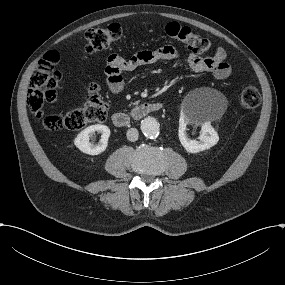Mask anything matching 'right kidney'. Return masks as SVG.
I'll return each instance as SVG.
<instances>
[{"mask_svg":"<svg viewBox=\"0 0 285 285\" xmlns=\"http://www.w3.org/2000/svg\"><path fill=\"white\" fill-rule=\"evenodd\" d=\"M101 133V139L98 145L92 144L89 139L95 132ZM110 136V129L106 125L95 124L88 126L81 131L74 140L75 146L83 153L89 155H98L105 151L108 145V138Z\"/></svg>","mask_w":285,"mask_h":285,"instance_id":"ca27d5eb","label":"right kidney"}]
</instances>
